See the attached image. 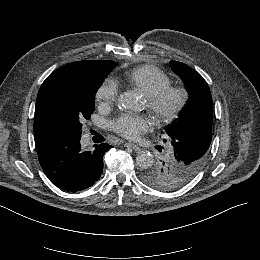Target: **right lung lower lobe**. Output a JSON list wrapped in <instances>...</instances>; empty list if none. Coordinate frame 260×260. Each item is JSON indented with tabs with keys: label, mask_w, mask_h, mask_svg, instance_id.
Instances as JSON below:
<instances>
[{
	"label": "right lung lower lobe",
	"mask_w": 260,
	"mask_h": 260,
	"mask_svg": "<svg viewBox=\"0 0 260 260\" xmlns=\"http://www.w3.org/2000/svg\"><path fill=\"white\" fill-rule=\"evenodd\" d=\"M81 138V137H80ZM80 138H62L38 153L41 167L58 188L78 192L91 187L103 172V156L109 144L94 145L92 151L81 148Z\"/></svg>",
	"instance_id": "1"
}]
</instances>
